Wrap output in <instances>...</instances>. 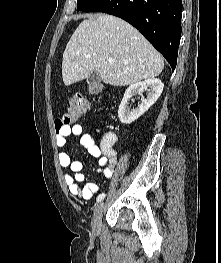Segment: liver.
Segmentation results:
<instances>
[{
    "label": "liver",
    "mask_w": 221,
    "mask_h": 263,
    "mask_svg": "<svg viewBox=\"0 0 221 263\" xmlns=\"http://www.w3.org/2000/svg\"><path fill=\"white\" fill-rule=\"evenodd\" d=\"M163 68V58L137 29L99 14L82 21L71 36L63 53L62 78L69 86L98 71L105 84L127 86L152 79Z\"/></svg>",
    "instance_id": "6515ba94"
}]
</instances>
